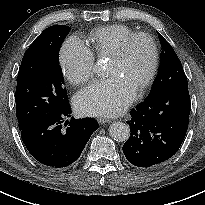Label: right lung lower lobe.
I'll use <instances>...</instances> for the list:
<instances>
[{
    "label": "right lung lower lobe",
    "mask_w": 205,
    "mask_h": 205,
    "mask_svg": "<svg viewBox=\"0 0 205 205\" xmlns=\"http://www.w3.org/2000/svg\"><path fill=\"white\" fill-rule=\"evenodd\" d=\"M67 103L63 108L53 109L21 130V138L30 154L50 169H64L72 166L80 157L98 124L92 118L70 117ZM63 125L67 126L64 128Z\"/></svg>",
    "instance_id": "98d812e1"
}]
</instances>
